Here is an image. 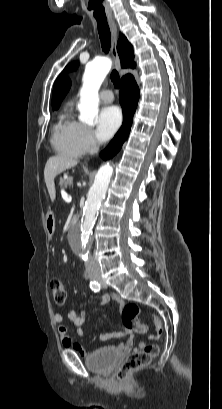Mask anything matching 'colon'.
Here are the masks:
<instances>
[{
  "mask_svg": "<svg viewBox=\"0 0 222 409\" xmlns=\"http://www.w3.org/2000/svg\"><path fill=\"white\" fill-rule=\"evenodd\" d=\"M50 288L55 302L60 306L64 305L67 299V291L64 284L59 279L54 278L50 282ZM140 312L141 309L137 304L128 303L122 310V321L125 327L128 329L139 333H144L147 331V325L139 322L138 315ZM155 325L156 333L159 337L162 333V327L161 322L157 318L155 319ZM158 352L159 348L157 344L150 343L144 345L140 350L132 353L121 363L117 372V378L123 381L131 371L137 370L149 364V362L158 354Z\"/></svg>",
  "mask_w": 222,
  "mask_h": 409,
  "instance_id": "colon-1",
  "label": "colon"
}]
</instances>
